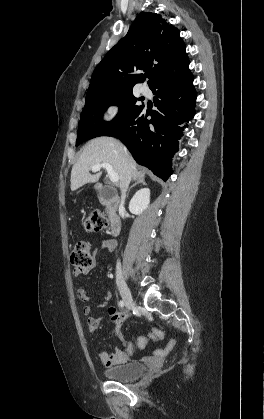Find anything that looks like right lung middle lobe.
I'll list each match as a JSON object with an SVG mask.
<instances>
[{"label": "right lung middle lobe", "mask_w": 264, "mask_h": 419, "mask_svg": "<svg viewBox=\"0 0 264 419\" xmlns=\"http://www.w3.org/2000/svg\"><path fill=\"white\" fill-rule=\"evenodd\" d=\"M138 100L132 90L87 96L78 126L76 146L113 130L142 106L137 104ZM111 105L119 106V112L111 122L105 123L102 120L103 113Z\"/></svg>", "instance_id": "1"}]
</instances>
